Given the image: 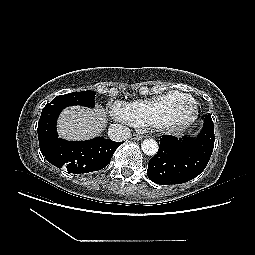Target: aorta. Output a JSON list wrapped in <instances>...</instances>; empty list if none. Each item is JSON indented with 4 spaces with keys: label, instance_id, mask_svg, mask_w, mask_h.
Segmentation results:
<instances>
[{
    "label": "aorta",
    "instance_id": "obj_1",
    "mask_svg": "<svg viewBox=\"0 0 255 255\" xmlns=\"http://www.w3.org/2000/svg\"><path fill=\"white\" fill-rule=\"evenodd\" d=\"M142 151L149 156L158 152V144L154 139H145L141 144Z\"/></svg>",
    "mask_w": 255,
    "mask_h": 255
}]
</instances>
